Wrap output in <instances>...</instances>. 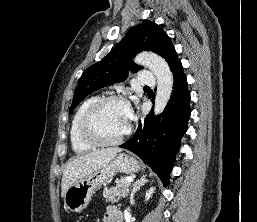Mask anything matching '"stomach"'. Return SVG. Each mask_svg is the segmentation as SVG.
I'll return each instance as SVG.
<instances>
[{
  "mask_svg": "<svg viewBox=\"0 0 257 222\" xmlns=\"http://www.w3.org/2000/svg\"><path fill=\"white\" fill-rule=\"evenodd\" d=\"M140 165L127 154L115 156L103 167L93 171L69 186L64 196V205L68 211L80 213L87 207L95 191L116 173H136Z\"/></svg>",
  "mask_w": 257,
  "mask_h": 222,
  "instance_id": "0dacf381",
  "label": "stomach"
}]
</instances>
